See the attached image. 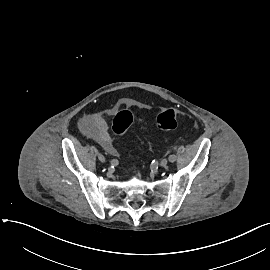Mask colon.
<instances>
[{
    "mask_svg": "<svg viewBox=\"0 0 270 270\" xmlns=\"http://www.w3.org/2000/svg\"><path fill=\"white\" fill-rule=\"evenodd\" d=\"M133 123V115L128 110L118 112L112 123V130L118 137L126 134ZM178 114L172 108L163 109L156 117V125L164 131H172L178 127Z\"/></svg>",
    "mask_w": 270,
    "mask_h": 270,
    "instance_id": "obj_1",
    "label": "colon"
}]
</instances>
